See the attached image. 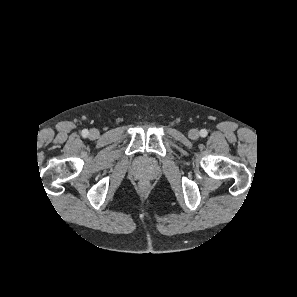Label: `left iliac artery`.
Masks as SVG:
<instances>
[{
    "instance_id": "44dca946",
    "label": "left iliac artery",
    "mask_w": 297,
    "mask_h": 297,
    "mask_svg": "<svg viewBox=\"0 0 297 297\" xmlns=\"http://www.w3.org/2000/svg\"><path fill=\"white\" fill-rule=\"evenodd\" d=\"M207 134H208V132H207L206 129H202V130H200V136H201V137H206Z\"/></svg>"
}]
</instances>
